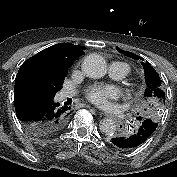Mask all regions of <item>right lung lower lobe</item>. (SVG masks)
Here are the masks:
<instances>
[{
    "label": "right lung lower lobe",
    "instance_id": "obj_1",
    "mask_svg": "<svg viewBox=\"0 0 177 177\" xmlns=\"http://www.w3.org/2000/svg\"><path fill=\"white\" fill-rule=\"evenodd\" d=\"M55 95L30 90L25 86L14 88V104L18 118L34 135L53 134L64 127L71 113L70 107L54 102Z\"/></svg>",
    "mask_w": 177,
    "mask_h": 177
}]
</instances>
